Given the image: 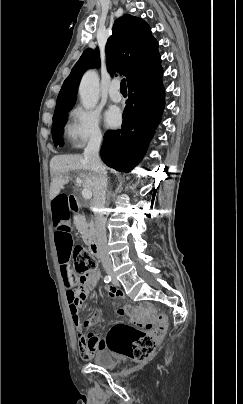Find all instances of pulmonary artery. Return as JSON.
<instances>
[{"instance_id":"1","label":"pulmonary artery","mask_w":243,"mask_h":404,"mask_svg":"<svg viewBox=\"0 0 243 404\" xmlns=\"http://www.w3.org/2000/svg\"><path fill=\"white\" fill-rule=\"evenodd\" d=\"M109 96L113 102L119 103L122 100V94L120 92L119 79H113L110 84Z\"/></svg>"}]
</instances>
